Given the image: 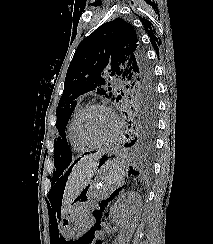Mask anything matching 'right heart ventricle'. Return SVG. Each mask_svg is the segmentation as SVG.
Wrapping results in <instances>:
<instances>
[{"label":"right heart ventricle","instance_id":"obj_1","mask_svg":"<svg viewBox=\"0 0 213 244\" xmlns=\"http://www.w3.org/2000/svg\"><path fill=\"white\" fill-rule=\"evenodd\" d=\"M83 109H84V107L82 105H80L74 110V112L68 122L67 131H66L67 139L70 144V147L76 153H85L91 149L88 146H86L85 144H83L78 139L76 131H75L76 122H77L78 117L80 116L81 112L83 111Z\"/></svg>","mask_w":213,"mask_h":244}]
</instances>
